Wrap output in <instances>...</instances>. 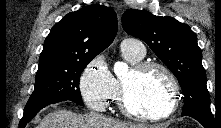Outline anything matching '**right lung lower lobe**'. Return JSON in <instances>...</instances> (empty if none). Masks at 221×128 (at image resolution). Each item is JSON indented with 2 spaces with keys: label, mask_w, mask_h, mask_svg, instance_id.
Returning <instances> with one entry per match:
<instances>
[{
  "label": "right lung lower lobe",
  "mask_w": 221,
  "mask_h": 128,
  "mask_svg": "<svg viewBox=\"0 0 221 128\" xmlns=\"http://www.w3.org/2000/svg\"><path fill=\"white\" fill-rule=\"evenodd\" d=\"M57 103V102H54ZM52 104V103H46L42 104L33 108H30L24 112L23 118L21 119L19 123V128H24L26 124L45 106Z\"/></svg>",
  "instance_id": "1"
}]
</instances>
